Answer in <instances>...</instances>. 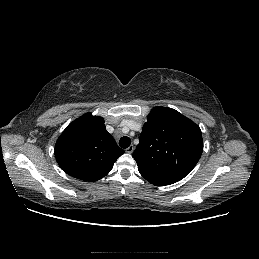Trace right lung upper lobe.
Listing matches in <instances>:
<instances>
[{"instance_id": "1", "label": "right lung upper lobe", "mask_w": 259, "mask_h": 259, "mask_svg": "<svg viewBox=\"0 0 259 259\" xmlns=\"http://www.w3.org/2000/svg\"><path fill=\"white\" fill-rule=\"evenodd\" d=\"M124 153L107 132L104 119L87 113L67 126L55 145V158L70 176L94 182L106 176Z\"/></svg>"}]
</instances>
